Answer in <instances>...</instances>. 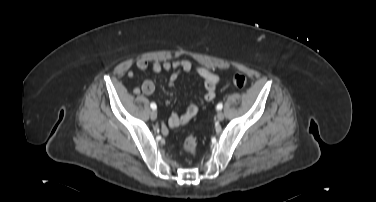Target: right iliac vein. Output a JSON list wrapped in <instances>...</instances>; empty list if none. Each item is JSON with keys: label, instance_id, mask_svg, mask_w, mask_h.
<instances>
[{"label": "right iliac vein", "instance_id": "1", "mask_svg": "<svg viewBox=\"0 0 376 202\" xmlns=\"http://www.w3.org/2000/svg\"><path fill=\"white\" fill-rule=\"evenodd\" d=\"M150 117H151L152 120H156L157 119V112L155 110L151 111Z\"/></svg>", "mask_w": 376, "mask_h": 202}]
</instances>
